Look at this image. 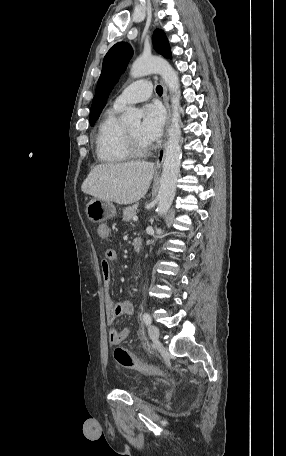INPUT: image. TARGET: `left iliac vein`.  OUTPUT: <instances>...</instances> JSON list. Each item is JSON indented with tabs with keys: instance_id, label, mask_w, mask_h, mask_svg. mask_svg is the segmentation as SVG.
Listing matches in <instances>:
<instances>
[{
	"instance_id": "left-iliac-vein-1",
	"label": "left iliac vein",
	"mask_w": 286,
	"mask_h": 456,
	"mask_svg": "<svg viewBox=\"0 0 286 456\" xmlns=\"http://www.w3.org/2000/svg\"><path fill=\"white\" fill-rule=\"evenodd\" d=\"M148 333L151 339L157 340L159 338L160 332L157 326L150 325L148 327Z\"/></svg>"
}]
</instances>
